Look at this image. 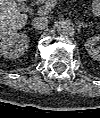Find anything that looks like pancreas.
I'll return each mask as SVG.
<instances>
[{"label": "pancreas", "instance_id": "1", "mask_svg": "<svg viewBox=\"0 0 100 118\" xmlns=\"http://www.w3.org/2000/svg\"><path fill=\"white\" fill-rule=\"evenodd\" d=\"M41 2H44L45 0H40Z\"/></svg>", "mask_w": 100, "mask_h": 118}]
</instances>
